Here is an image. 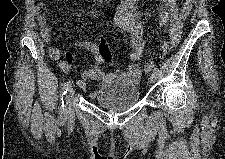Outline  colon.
<instances>
[{"instance_id": "obj_1", "label": "colon", "mask_w": 225, "mask_h": 159, "mask_svg": "<svg viewBox=\"0 0 225 159\" xmlns=\"http://www.w3.org/2000/svg\"><path fill=\"white\" fill-rule=\"evenodd\" d=\"M171 49V46L169 43L164 42L159 50V53L155 55L151 60L147 61L146 64L144 65V71L146 73L150 72L154 67H156L163 57L169 53Z\"/></svg>"}]
</instances>
